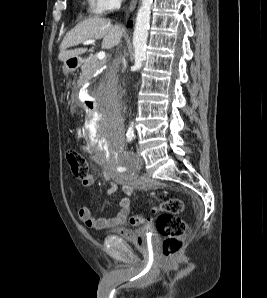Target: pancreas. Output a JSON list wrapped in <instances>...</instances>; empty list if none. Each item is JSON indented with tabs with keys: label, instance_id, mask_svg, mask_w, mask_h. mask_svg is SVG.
I'll return each instance as SVG.
<instances>
[{
	"label": "pancreas",
	"instance_id": "cf45deb5",
	"mask_svg": "<svg viewBox=\"0 0 267 298\" xmlns=\"http://www.w3.org/2000/svg\"><path fill=\"white\" fill-rule=\"evenodd\" d=\"M105 61L99 60L96 56L90 57L88 60L85 61L84 65L82 66L81 70V79L87 81L91 79L92 75L103 65Z\"/></svg>",
	"mask_w": 267,
	"mask_h": 298
}]
</instances>
